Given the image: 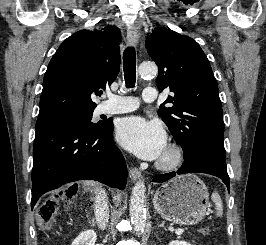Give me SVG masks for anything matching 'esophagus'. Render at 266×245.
I'll list each match as a JSON object with an SVG mask.
<instances>
[{"label": "esophagus", "instance_id": "obj_1", "mask_svg": "<svg viewBox=\"0 0 266 245\" xmlns=\"http://www.w3.org/2000/svg\"><path fill=\"white\" fill-rule=\"evenodd\" d=\"M139 32L136 29V27L131 26L130 28H128L127 30V43L130 46H136L138 44V40H139ZM129 175L130 178L133 181H137L138 179L142 178V174L139 170H137L136 168H131L129 170Z\"/></svg>", "mask_w": 266, "mask_h": 245}]
</instances>
